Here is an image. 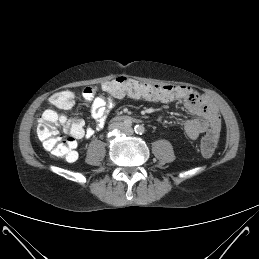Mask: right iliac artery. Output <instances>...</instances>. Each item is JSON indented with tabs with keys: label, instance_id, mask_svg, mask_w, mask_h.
Returning <instances> with one entry per match:
<instances>
[{
	"label": "right iliac artery",
	"instance_id": "right-iliac-artery-1",
	"mask_svg": "<svg viewBox=\"0 0 259 259\" xmlns=\"http://www.w3.org/2000/svg\"><path fill=\"white\" fill-rule=\"evenodd\" d=\"M125 127H131L132 126V122L130 120H127L124 122Z\"/></svg>",
	"mask_w": 259,
	"mask_h": 259
}]
</instances>
